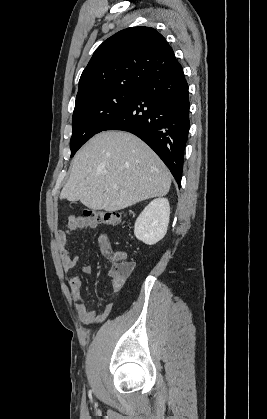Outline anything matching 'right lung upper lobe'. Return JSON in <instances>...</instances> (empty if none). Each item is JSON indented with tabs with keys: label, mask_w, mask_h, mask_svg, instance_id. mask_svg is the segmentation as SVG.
<instances>
[{
	"label": "right lung upper lobe",
	"mask_w": 267,
	"mask_h": 419,
	"mask_svg": "<svg viewBox=\"0 0 267 419\" xmlns=\"http://www.w3.org/2000/svg\"><path fill=\"white\" fill-rule=\"evenodd\" d=\"M176 61L172 48L157 30H121L94 52L80 77L76 102L108 90L141 86L151 75Z\"/></svg>",
	"instance_id": "right-lung-upper-lobe-1"
}]
</instances>
